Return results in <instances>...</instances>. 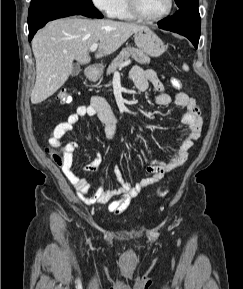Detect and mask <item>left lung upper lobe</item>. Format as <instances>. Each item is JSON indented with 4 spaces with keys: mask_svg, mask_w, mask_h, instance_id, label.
Returning a JSON list of instances; mask_svg holds the SVG:
<instances>
[{
    "mask_svg": "<svg viewBox=\"0 0 243 289\" xmlns=\"http://www.w3.org/2000/svg\"><path fill=\"white\" fill-rule=\"evenodd\" d=\"M175 2L179 8L199 5V0H175Z\"/></svg>",
    "mask_w": 243,
    "mask_h": 289,
    "instance_id": "5c2ea615",
    "label": "left lung upper lobe"
}]
</instances>
